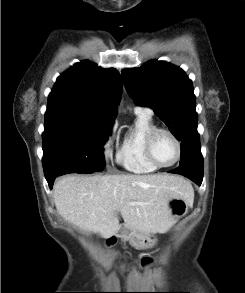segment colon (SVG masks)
<instances>
[{
  "instance_id": "obj_1",
  "label": "colon",
  "mask_w": 245,
  "mask_h": 293,
  "mask_svg": "<svg viewBox=\"0 0 245 293\" xmlns=\"http://www.w3.org/2000/svg\"><path fill=\"white\" fill-rule=\"evenodd\" d=\"M114 242H115V239H114V238H110V239L107 241L108 245H112ZM144 261H147V259H145Z\"/></svg>"
}]
</instances>
